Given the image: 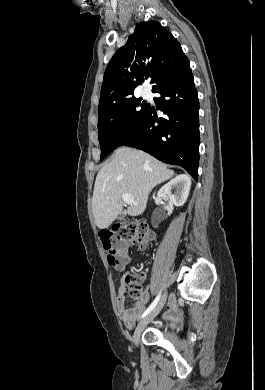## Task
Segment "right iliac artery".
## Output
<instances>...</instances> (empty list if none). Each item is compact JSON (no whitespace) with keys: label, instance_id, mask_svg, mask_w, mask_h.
<instances>
[{"label":"right iliac artery","instance_id":"1","mask_svg":"<svg viewBox=\"0 0 265 390\" xmlns=\"http://www.w3.org/2000/svg\"><path fill=\"white\" fill-rule=\"evenodd\" d=\"M161 293L157 295L155 300L151 303V305L144 311V313L141 315V318H144L146 315H148L157 305L159 299H160Z\"/></svg>","mask_w":265,"mask_h":390}]
</instances>
